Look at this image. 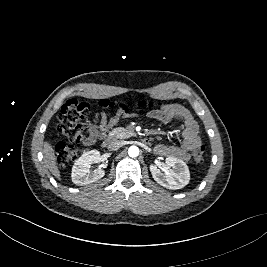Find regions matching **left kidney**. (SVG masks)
Here are the masks:
<instances>
[{"label":"left kidney","mask_w":267,"mask_h":267,"mask_svg":"<svg viewBox=\"0 0 267 267\" xmlns=\"http://www.w3.org/2000/svg\"><path fill=\"white\" fill-rule=\"evenodd\" d=\"M153 179L167 189H181L190 181V172L186 163L176 157L165 159L164 173L153 164L150 165Z\"/></svg>","instance_id":"5707ae66"}]
</instances>
